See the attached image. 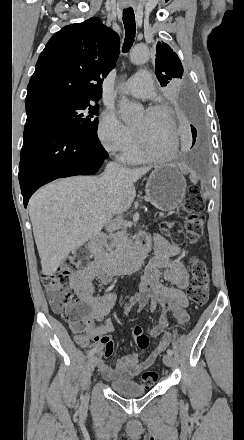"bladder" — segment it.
Here are the masks:
<instances>
[{"label":"bladder","instance_id":"obj_1","mask_svg":"<svg viewBox=\"0 0 244 440\" xmlns=\"http://www.w3.org/2000/svg\"><path fill=\"white\" fill-rule=\"evenodd\" d=\"M114 392L121 393L126 396H134L146 393V387H142L138 381L121 380L112 383Z\"/></svg>","mask_w":244,"mask_h":440}]
</instances>
